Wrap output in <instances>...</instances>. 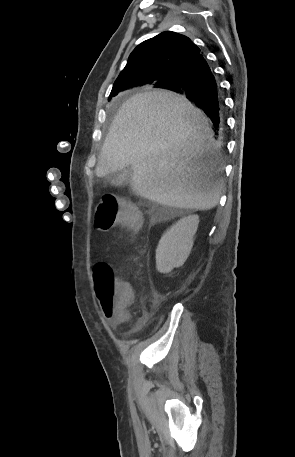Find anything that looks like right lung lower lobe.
Here are the masks:
<instances>
[{"label": "right lung lower lobe", "mask_w": 295, "mask_h": 457, "mask_svg": "<svg viewBox=\"0 0 295 457\" xmlns=\"http://www.w3.org/2000/svg\"><path fill=\"white\" fill-rule=\"evenodd\" d=\"M156 87L185 95L207 114L215 127L223 123L221 89L203 55L184 66L176 79Z\"/></svg>", "instance_id": "obj_1"}]
</instances>
